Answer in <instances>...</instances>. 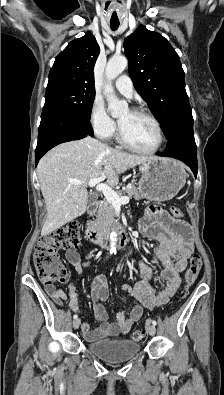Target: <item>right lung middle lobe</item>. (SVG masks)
I'll return each instance as SVG.
<instances>
[{
    "label": "right lung middle lobe",
    "instance_id": "dd1d6c3e",
    "mask_svg": "<svg viewBox=\"0 0 224 395\" xmlns=\"http://www.w3.org/2000/svg\"><path fill=\"white\" fill-rule=\"evenodd\" d=\"M95 88L65 78H49L45 105L90 120Z\"/></svg>",
    "mask_w": 224,
    "mask_h": 395
}]
</instances>
